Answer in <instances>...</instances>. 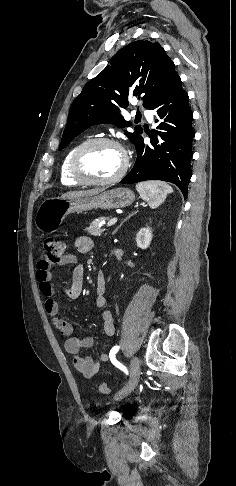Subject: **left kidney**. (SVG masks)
<instances>
[{
  "instance_id": "5707ae66",
  "label": "left kidney",
  "mask_w": 236,
  "mask_h": 486,
  "mask_svg": "<svg viewBox=\"0 0 236 486\" xmlns=\"http://www.w3.org/2000/svg\"><path fill=\"white\" fill-rule=\"evenodd\" d=\"M152 240V232L149 227H144L139 230L136 236L137 246L141 249H147Z\"/></svg>"
}]
</instances>
